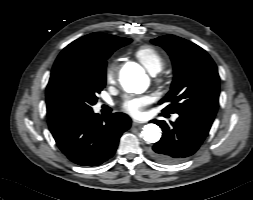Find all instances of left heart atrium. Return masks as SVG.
<instances>
[{"mask_svg": "<svg viewBox=\"0 0 253 200\" xmlns=\"http://www.w3.org/2000/svg\"><path fill=\"white\" fill-rule=\"evenodd\" d=\"M150 101L151 98L147 95L130 97L124 100L122 109L130 116L138 118L142 115L144 107L148 105Z\"/></svg>", "mask_w": 253, "mask_h": 200, "instance_id": "obj_1", "label": "left heart atrium"}]
</instances>
